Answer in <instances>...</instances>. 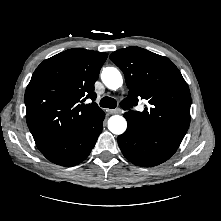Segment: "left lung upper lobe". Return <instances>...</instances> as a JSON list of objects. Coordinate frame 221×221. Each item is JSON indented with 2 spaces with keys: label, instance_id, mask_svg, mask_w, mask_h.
Returning a JSON list of instances; mask_svg holds the SVG:
<instances>
[{
  "label": "left lung upper lobe",
  "instance_id": "5c2ea615",
  "mask_svg": "<svg viewBox=\"0 0 221 221\" xmlns=\"http://www.w3.org/2000/svg\"><path fill=\"white\" fill-rule=\"evenodd\" d=\"M110 59L124 72L129 97L121 102L126 120L156 143L178 148L190 125L191 95L178 68L166 57L139 47L113 52ZM149 105L129 110L138 99Z\"/></svg>",
  "mask_w": 221,
  "mask_h": 221
}]
</instances>
